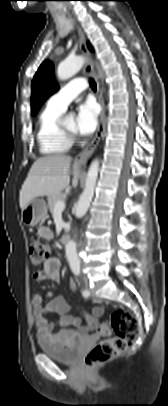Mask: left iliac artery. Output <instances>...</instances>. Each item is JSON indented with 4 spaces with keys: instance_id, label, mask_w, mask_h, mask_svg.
I'll return each mask as SVG.
<instances>
[{
    "instance_id": "left-iliac-artery-1",
    "label": "left iliac artery",
    "mask_w": 168,
    "mask_h": 406,
    "mask_svg": "<svg viewBox=\"0 0 168 406\" xmlns=\"http://www.w3.org/2000/svg\"><path fill=\"white\" fill-rule=\"evenodd\" d=\"M73 272H74L75 275L79 276L80 275V268L73 269ZM82 294H83L84 297H88L90 295V292L87 289H84L82 291Z\"/></svg>"
}]
</instances>
